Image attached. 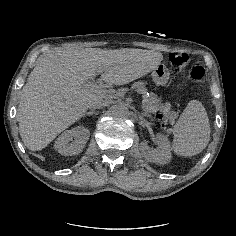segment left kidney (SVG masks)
Segmentation results:
<instances>
[{"instance_id": "5707ae66", "label": "left kidney", "mask_w": 236, "mask_h": 236, "mask_svg": "<svg viewBox=\"0 0 236 236\" xmlns=\"http://www.w3.org/2000/svg\"><path fill=\"white\" fill-rule=\"evenodd\" d=\"M158 148L151 149L147 142H141L139 145L140 153L147 162L166 164L170 162L171 152L170 144L163 134L156 135Z\"/></svg>"}]
</instances>
